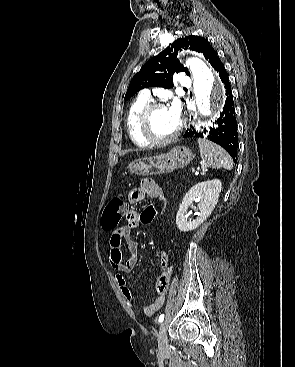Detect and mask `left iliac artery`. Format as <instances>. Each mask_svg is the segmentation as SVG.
Returning <instances> with one entry per match:
<instances>
[{
    "label": "left iliac artery",
    "mask_w": 295,
    "mask_h": 367,
    "mask_svg": "<svg viewBox=\"0 0 295 367\" xmlns=\"http://www.w3.org/2000/svg\"><path fill=\"white\" fill-rule=\"evenodd\" d=\"M163 320H164V314H161L160 316H159V323H161V322H163Z\"/></svg>",
    "instance_id": "44dca946"
}]
</instances>
